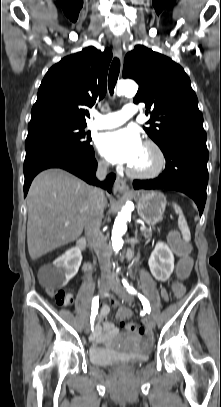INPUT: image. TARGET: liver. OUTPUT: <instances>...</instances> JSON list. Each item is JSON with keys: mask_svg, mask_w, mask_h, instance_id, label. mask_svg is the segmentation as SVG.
<instances>
[{"mask_svg": "<svg viewBox=\"0 0 221 407\" xmlns=\"http://www.w3.org/2000/svg\"><path fill=\"white\" fill-rule=\"evenodd\" d=\"M92 189L62 169H48L34 178L27 195L31 259H38L82 234L91 211Z\"/></svg>", "mask_w": 221, "mask_h": 407, "instance_id": "1", "label": "liver"}]
</instances>
